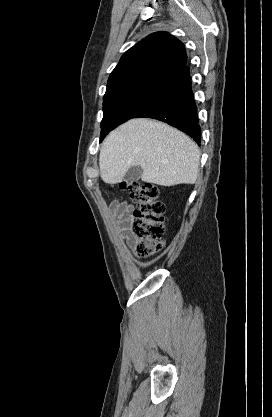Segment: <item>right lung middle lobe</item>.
Listing matches in <instances>:
<instances>
[{"mask_svg": "<svg viewBox=\"0 0 272 417\" xmlns=\"http://www.w3.org/2000/svg\"><path fill=\"white\" fill-rule=\"evenodd\" d=\"M160 87L130 88L114 93L103 102L100 142L123 122L134 118L158 93Z\"/></svg>", "mask_w": 272, "mask_h": 417, "instance_id": "1", "label": "right lung middle lobe"}]
</instances>
